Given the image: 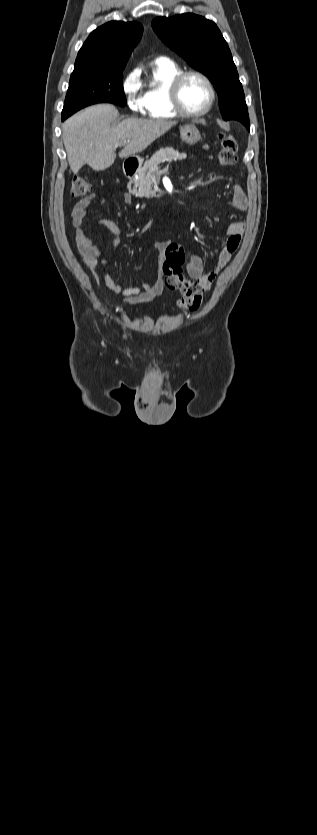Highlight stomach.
<instances>
[{"mask_svg": "<svg viewBox=\"0 0 317 835\" xmlns=\"http://www.w3.org/2000/svg\"><path fill=\"white\" fill-rule=\"evenodd\" d=\"M180 137L183 142L189 145H194L201 139L200 132L194 124L181 126ZM135 159L142 160V158L138 156H136Z\"/></svg>", "mask_w": 317, "mask_h": 835, "instance_id": "1", "label": "stomach"}]
</instances>
